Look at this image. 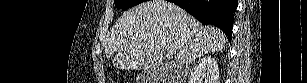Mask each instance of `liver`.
I'll use <instances>...</instances> for the list:
<instances>
[{
  "label": "liver",
  "mask_w": 307,
  "mask_h": 83,
  "mask_svg": "<svg viewBox=\"0 0 307 83\" xmlns=\"http://www.w3.org/2000/svg\"><path fill=\"white\" fill-rule=\"evenodd\" d=\"M225 43L223 32L203 26L179 6L150 0L116 21L105 43V55L110 58L115 52H123L114 64L117 68L160 69L165 52L174 49L175 66L187 68L196 58L222 50Z\"/></svg>",
  "instance_id": "6515ba94"
}]
</instances>
